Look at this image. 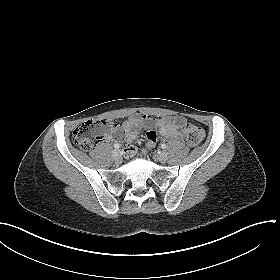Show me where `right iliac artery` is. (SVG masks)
<instances>
[{"instance_id": "right-iliac-artery-1", "label": "right iliac artery", "mask_w": 280, "mask_h": 280, "mask_svg": "<svg viewBox=\"0 0 280 280\" xmlns=\"http://www.w3.org/2000/svg\"><path fill=\"white\" fill-rule=\"evenodd\" d=\"M114 148H116V149L120 148V144L115 143V144H114Z\"/></svg>"}]
</instances>
